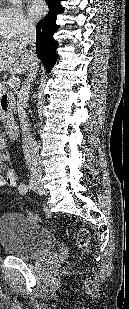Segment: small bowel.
<instances>
[{
    "instance_id": "small-bowel-1",
    "label": "small bowel",
    "mask_w": 129,
    "mask_h": 309,
    "mask_svg": "<svg viewBox=\"0 0 129 309\" xmlns=\"http://www.w3.org/2000/svg\"><path fill=\"white\" fill-rule=\"evenodd\" d=\"M5 143L3 136L0 134V166L3 173H0V187H15L17 185V176L15 171L9 166V155L1 151Z\"/></svg>"
}]
</instances>
